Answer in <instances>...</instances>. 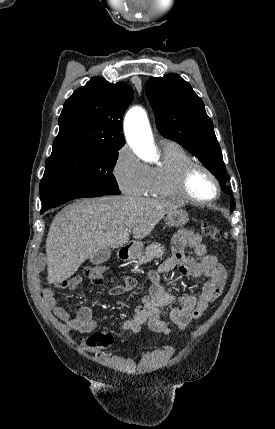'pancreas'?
Returning <instances> with one entry per match:
<instances>
[{
    "label": "pancreas",
    "mask_w": 275,
    "mask_h": 429,
    "mask_svg": "<svg viewBox=\"0 0 275 429\" xmlns=\"http://www.w3.org/2000/svg\"><path fill=\"white\" fill-rule=\"evenodd\" d=\"M165 248L159 243L153 242L146 247L143 254L138 256V264H143L152 261L155 257L162 256Z\"/></svg>",
    "instance_id": "obj_1"
}]
</instances>
